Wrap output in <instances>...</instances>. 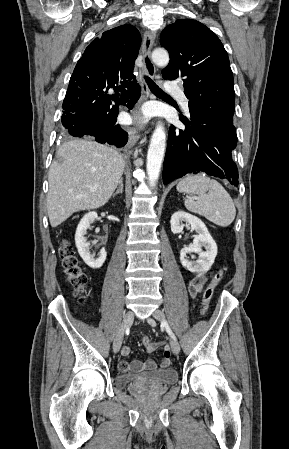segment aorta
Returning a JSON list of instances; mask_svg holds the SVG:
<instances>
[{
  "label": "aorta",
  "mask_w": 289,
  "mask_h": 449,
  "mask_svg": "<svg viewBox=\"0 0 289 449\" xmlns=\"http://www.w3.org/2000/svg\"><path fill=\"white\" fill-rule=\"evenodd\" d=\"M152 60L159 67H166L169 63V54L165 49H155L152 52ZM166 146V134L162 123H158L151 137L146 169L149 185L155 187L160 175L161 165Z\"/></svg>",
  "instance_id": "762f6f07"
}]
</instances>
